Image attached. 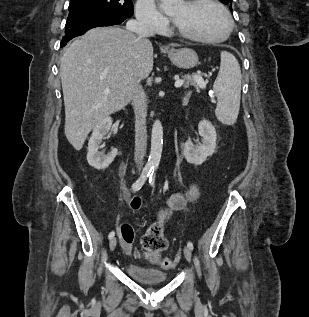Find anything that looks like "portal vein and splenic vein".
Here are the masks:
<instances>
[{
  "label": "portal vein and splenic vein",
  "instance_id": "1",
  "mask_svg": "<svg viewBox=\"0 0 309 317\" xmlns=\"http://www.w3.org/2000/svg\"><path fill=\"white\" fill-rule=\"evenodd\" d=\"M194 79L196 80V82L200 85L201 88H205L206 87V83L204 82L203 78L200 75H195ZM184 84V80L182 79H178L175 81L174 86L176 88L181 87ZM105 93H110L109 89L105 90Z\"/></svg>",
  "mask_w": 309,
  "mask_h": 317
}]
</instances>
